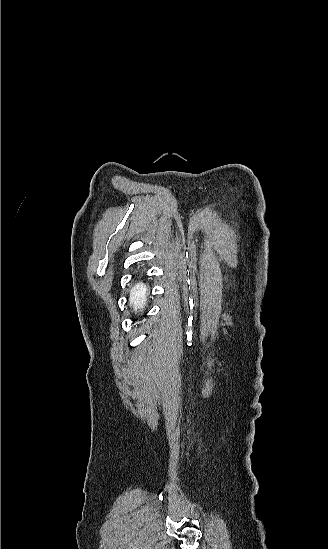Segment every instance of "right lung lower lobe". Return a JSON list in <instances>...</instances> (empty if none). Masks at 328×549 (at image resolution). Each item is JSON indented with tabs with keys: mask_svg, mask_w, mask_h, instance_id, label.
Returning <instances> with one entry per match:
<instances>
[{
	"mask_svg": "<svg viewBox=\"0 0 328 549\" xmlns=\"http://www.w3.org/2000/svg\"><path fill=\"white\" fill-rule=\"evenodd\" d=\"M138 291H139V292H141V291H142V290H141V287H139V288H138Z\"/></svg>",
	"mask_w": 328,
	"mask_h": 549,
	"instance_id": "right-lung-lower-lobe-1",
	"label": "right lung lower lobe"
}]
</instances>
